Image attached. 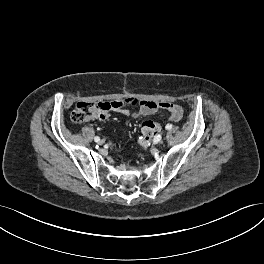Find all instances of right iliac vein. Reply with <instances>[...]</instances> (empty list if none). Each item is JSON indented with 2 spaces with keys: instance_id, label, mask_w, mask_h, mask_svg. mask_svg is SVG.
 I'll list each match as a JSON object with an SVG mask.
<instances>
[{
  "instance_id": "1",
  "label": "right iliac vein",
  "mask_w": 264,
  "mask_h": 264,
  "mask_svg": "<svg viewBox=\"0 0 264 264\" xmlns=\"http://www.w3.org/2000/svg\"><path fill=\"white\" fill-rule=\"evenodd\" d=\"M106 141L103 139V140H100L99 142H98V144H100V145H102V144H104Z\"/></svg>"
}]
</instances>
